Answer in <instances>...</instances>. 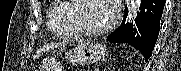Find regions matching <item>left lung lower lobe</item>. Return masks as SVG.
Here are the masks:
<instances>
[{
	"label": "left lung lower lobe",
	"instance_id": "left-lung-lower-lobe-1",
	"mask_svg": "<svg viewBox=\"0 0 181 71\" xmlns=\"http://www.w3.org/2000/svg\"><path fill=\"white\" fill-rule=\"evenodd\" d=\"M165 0H144L141 2L140 14L132 23H125L128 9H125L123 25L111 33L107 41L112 43H127L138 49L145 60H148L155 47L160 29Z\"/></svg>",
	"mask_w": 181,
	"mask_h": 71
}]
</instances>
